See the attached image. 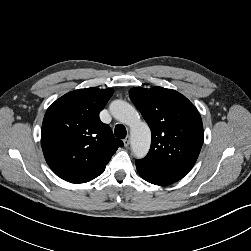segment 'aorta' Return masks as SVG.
Returning <instances> with one entry per match:
<instances>
[{
	"instance_id": "aorta-1",
	"label": "aorta",
	"mask_w": 251,
	"mask_h": 251,
	"mask_svg": "<svg viewBox=\"0 0 251 251\" xmlns=\"http://www.w3.org/2000/svg\"><path fill=\"white\" fill-rule=\"evenodd\" d=\"M109 109L115 119L130 127L132 151L137 158H143L150 148L151 132L149 126L141 121L135 108L125 101L114 100Z\"/></svg>"
}]
</instances>
